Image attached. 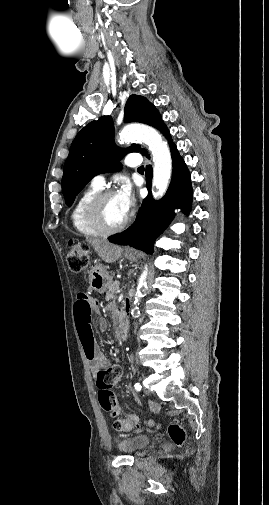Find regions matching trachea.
I'll use <instances>...</instances> for the list:
<instances>
[{
  "instance_id": "trachea-1",
  "label": "trachea",
  "mask_w": 269,
  "mask_h": 505,
  "mask_svg": "<svg viewBox=\"0 0 269 505\" xmlns=\"http://www.w3.org/2000/svg\"><path fill=\"white\" fill-rule=\"evenodd\" d=\"M138 171H144V166H140V167L138 168Z\"/></svg>"
}]
</instances>
